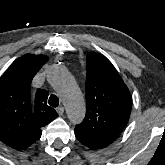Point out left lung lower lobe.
<instances>
[{"label":"left lung lower lobe","instance_id":"obj_1","mask_svg":"<svg viewBox=\"0 0 165 165\" xmlns=\"http://www.w3.org/2000/svg\"><path fill=\"white\" fill-rule=\"evenodd\" d=\"M75 136L82 144H84L90 149L96 150L105 147L102 143L98 142L97 140L93 139L92 137L84 134L79 130H75Z\"/></svg>","mask_w":165,"mask_h":165}]
</instances>
